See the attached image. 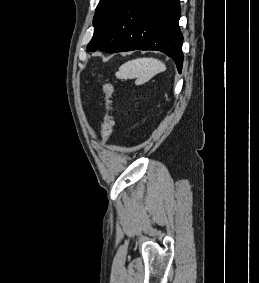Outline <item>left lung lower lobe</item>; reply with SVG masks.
<instances>
[{"mask_svg": "<svg viewBox=\"0 0 259 283\" xmlns=\"http://www.w3.org/2000/svg\"><path fill=\"white\" fill-rule=\"evenodd\" d=\"M180 15L179 0H125L104 35L87 49L109 53L158 50L172 57L181 72Z\"/></svg>", "mask_w": 259, "mask_h": 283, "instance_id": "1", "label": "left lung lower lobe"}]
</instances>
